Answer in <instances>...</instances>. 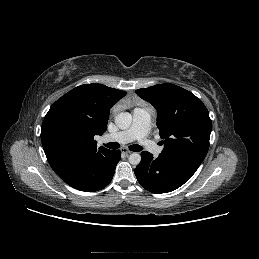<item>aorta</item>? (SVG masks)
<instances>
[{
    "label": "aorta",
    "mask_w": 259,
    "mask_h": 259,
    "mask_svg": "<svg viewBox=\"0 0 259 259\" xmlns=\"http://www.w3.org/2000/svg\"><path fill=\"white\" fill-rule=\"evenodd\" d=\"M132 123V115L128 112H122L116 115L115 124L122 130L128 129ZM130 164L138 165L141 162V156L139 153H132L128 158Z\"/></svg>",
    "instance_id": "762f6f07"
}]
</instances>
